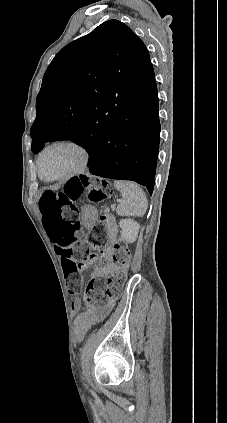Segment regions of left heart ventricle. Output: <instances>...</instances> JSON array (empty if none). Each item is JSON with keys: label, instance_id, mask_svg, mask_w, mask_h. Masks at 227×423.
Wrapping results in <instances>:
<instances>
[{"label": "left heart ventricle", "instance_id": "obj_1", "mask_svg": "<svg viewBox=\"0 0 227 423\" xmlns=\"http://www.w3.org/2000/svg\"><path fill=\"white\" fill-rule=\"evenodd\" d=\"M80 161L77 150L68 146H58L48 150L42 158L43 173L51 178L69 172Z\"/></svg>", "mask_w": 227, "mask_h": 423}]
</instances>
